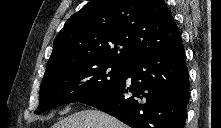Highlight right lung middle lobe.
Listing matches in <instances>:
<instances>
[{
    "instance_id": "right-lung-middle-lobe-1",
    "label": "right lung middle lobe",
    "mask_w": 221,
    "mask_h": 128,
    "mask_svg": "<svg viewBox=\"0 0 221 128\" xmlns=\"http://www.w3.org/2000/svg\"><path fill=\"white\" fill-rule=\"evenodd\" d=\"M126 69L127 65L95 62H73L56 67L44 75L35 113L102 94L121 81Z\"/></svg>"
}]
</instances>
